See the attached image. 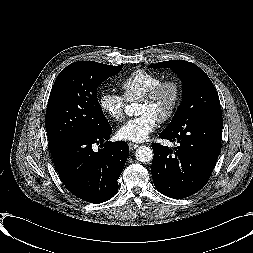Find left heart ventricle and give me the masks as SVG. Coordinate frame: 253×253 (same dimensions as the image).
<instances>
[{"mask_svg":"<svg viewBox=\"0 0 253 253\" xmlns=\"http://www.w3.org/2000/svg\"><path fill=\"white\" fill-rule=\"evenodd\" d=\"M175 98V92L172 87L164 88L158 97L150 102H138L136 114L143 115L149 114L153 116L156 120H158L161 116H163L169 108L172 106Z\"/></svg>","mask_w":253,"mask_h":253,"instance_id":"obj_1","label":"left heart ventricle"}]
</instances>
